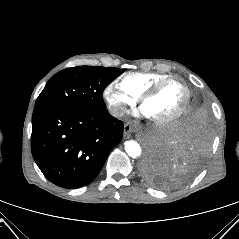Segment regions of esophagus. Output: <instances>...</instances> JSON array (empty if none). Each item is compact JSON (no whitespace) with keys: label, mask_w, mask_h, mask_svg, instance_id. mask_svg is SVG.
<instances>
[{"label":"esophagus","mask_w":239,"mask_h":239,"mask_svg":"<svg viewBox=\"0 0 239 239\" xmlns=\"http://www.w3.org/2000/svg\"><path fill=\"white\" fill-rule=\"evenodd\" d=\"M132 132V127L129 124L124 125V135L129 136V134Z\"/></svg>","instance_id":"obj_1"}]
</instances>
